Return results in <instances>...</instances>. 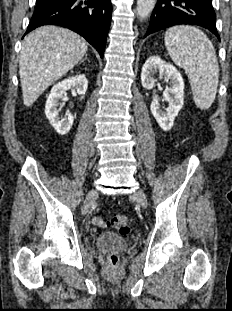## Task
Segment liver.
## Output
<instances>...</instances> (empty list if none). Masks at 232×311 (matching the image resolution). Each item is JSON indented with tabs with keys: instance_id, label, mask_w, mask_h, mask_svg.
I'll list each match as a JSON object with an SVG mask.
<instances>
[{
	"instance_id": "obj_1",
	"label": "liver",
	"mask_w": 232,
	"mask_h": 311,
	"mask_svg": "<svg viewBox=\"0 0 232 311\" xmlns=\"http://www.w3.org/2000/svg\"><path fill=\"white\" fill-rule=\"evenodd\" d=\"M87 49L85 39L56 26H44L27 35L19 58L24 105L30 107L50 85L79 63Z\"/></svg>"
}]
</instances>
